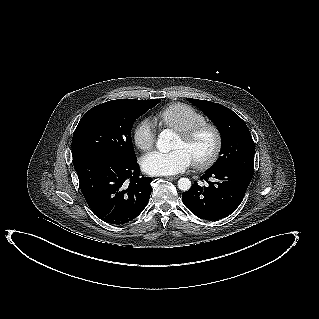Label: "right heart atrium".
Returning a JSON list of instances; mask_svg holds the SVG:
<instances>
[{"mask_svg": "<svg viewBox=\"0 0 319 319\" xmlns=\"http://www.w3.org/2000/svg\"><path fill=\"white\" fill-rule=\"evenodd\" d=\"M135 145L142 151L150 150L156 141V131L148 119L139 121L133 130Z\"/></svg>", "mask_w": 319, "mask_h": 319, "instance_id": "right-heart-atrium-1", "label": "right heart atrium"}]
</instances>
